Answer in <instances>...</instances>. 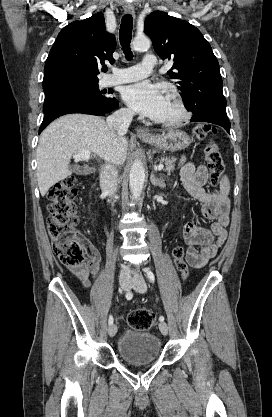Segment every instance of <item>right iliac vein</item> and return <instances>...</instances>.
Wrapping results in <instances>:
<instances>
[{
    "label": "right iliac vein",
    "mask_w": 272,
    "mask_h": 417,
    "mask_svg": "<svg viewBox=\"0 0 272 417\" xmlns=\"http://www.w3.org/2000/svg\"><path fill=\"white\" fill-rule=\"evenodd\" d=\"M132 285V280L129 277H122L120 278V286L124 291H128ZM117 333V326L115 324H111L108 328V334L110 337L115 336Z\"/></svg>",
    "instance_id": "1"
}]
</instances>
